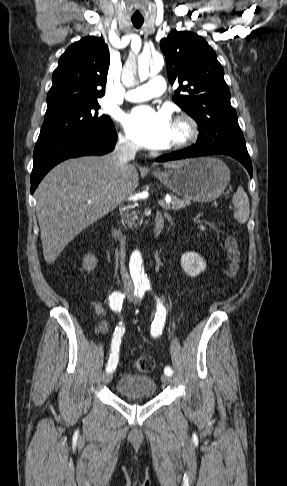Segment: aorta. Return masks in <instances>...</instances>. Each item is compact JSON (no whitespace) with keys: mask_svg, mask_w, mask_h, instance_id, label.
<instances>
[{"mask_svg":"<svg viewBox=\"0 0 287 486\" xmlns=\"http://www.w3.org/2000/svg\"><path fill=\"white\" fill-rule=\"evenodd\" d=\"M164 60L161 56H157L153 60V64L149 71V62H142L138 67V75L140 81H144L150 74H157L163 67ZM130 272L135 281H139L142 285L149 286V280L142 268V257L138 250L134 251L130 257Z\"/></svg>","mask_w":287,"mask_h":486,"instance_id":"obj_1","label":"aorta"}]
</instances>
